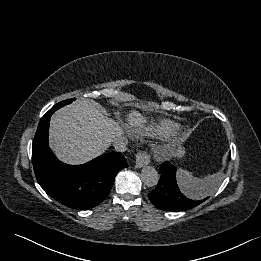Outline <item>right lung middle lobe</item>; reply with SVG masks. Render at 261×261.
Segmentation results:
<instances>
[{"instance_id": "obj_1", "label": "right lung middle lobe", "mask_w": 261, "mask_h": 261, "mask_svg": "<svg viewBox=\"0 0 261 261\" xmlns=\"http://www.w3.org/2000/svg\"><path fill=\"white\" fill-rule=\"evenodd\" d=\"M75 100V98H71V99H68V100H64V101H61L59 103H57L56 105L54 106H57L58 108L64 106V105H67V104H70L71 102H73Z\"/></svg>"}]
</instances>
